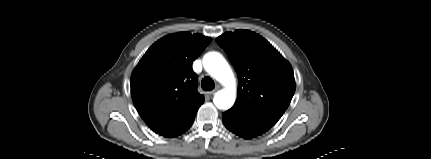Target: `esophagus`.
Wrapping results in <instances>:
<instances>
[{
  "label": "esophagus",
  "mask_w": 431,
  "mask_h": 159,
  "mask_svg": "<svg viewBox=\"0 0 431 159\" xmlns=\"http://www.w3.org/2000/svg\"><path fill=\"white\" fill-rule=\"evenodd\" d=\"M217 90H218V88H216V89H214L212 91L207 92V96L212 97L216 93Z\"/></svg>",
  "instance_id": "34e87169"
}]
</instances>
